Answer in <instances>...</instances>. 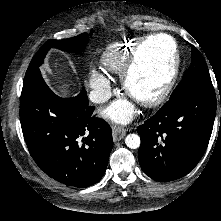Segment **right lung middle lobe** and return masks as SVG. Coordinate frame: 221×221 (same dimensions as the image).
<instances>
[{
	"label": "right lung middle lobe",
	"instance_id": "1",
	"mask_svg": "<svg viewBox=\"0 0 221 221\" xmlns=\"http://www.w3.org/2000/svg\"><path fill=\"white\" fill-rule=\"evenodd\" d=\"M92 34V31L91 33ZM89 41V34L82 33L77 37L64 40H48L36 53L27 69L24 82L39 72V66L42 64L47 51L52 48H59L72 53L83 52Z\"/></svg>",
	"mask_w": 221,
	"mask_h": 221
}]
</instances>
